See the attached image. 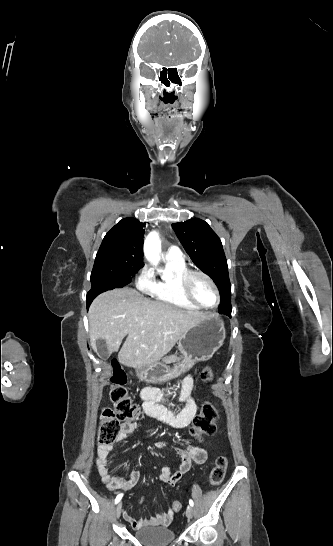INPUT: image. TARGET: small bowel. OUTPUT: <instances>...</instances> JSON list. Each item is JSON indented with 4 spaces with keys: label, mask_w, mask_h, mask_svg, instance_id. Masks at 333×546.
I'll return each mask as SVG.
<instances>
[{
    "label": "small bowel",
    "mask_w": 333,
    "mask_h": 546,
    "mask_svg": "<svg viewBox=\"0 0 333 546\" xmlns=\"http://www.w3.org/2000/svg\"><path fill=\"white\" fill-rule=\"evenodd\" d=\"M193 389L194 380L191 375L185 376L177 395L174 397L165 394L157 388L144 387L140 392L143 412L147 416L156 418L172 428L182 429L191 423L197 412V404L193 397ZM177 403L185 404L177 413L171 411L167 407V405ZM136 427V422L124 423L118 436V442L126 441L134 433ZM166 445V441H160L158 443L159 447H164ZM175 450L182 461L180 466L175 469L164 468L160 475V481L169 486H174L193 464H203L207 459L205 449L195 445H189L187 447L175 446ZM112 451V445L99 444L97 447L95 462L101 481L111 491L117 489L131 490L139 482L140 473L138 471H132L128 479L119 475H112L109 471V457ZM173 515V510L169 509L164 513L150 518L135 519L128 512H123L125 521L135 530L149 526H167L171 523Z\"/></svg>",
    "instance_id": "c3829d8e"
}]
</instances>
